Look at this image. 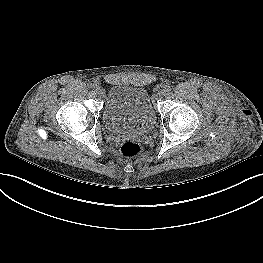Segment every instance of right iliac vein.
<instances>
[{
	"mask_svg": "<svg viewBox=\"0 0 263 263\" xmlns=\"http://www.w3.org/2000/svg\"><path fill=\"white\" fill-rule=\"evenodd\" d=\"M96 91L98 92V93H100V94H102L103 93V90L98 86V88L96 89Z\"/></svg>",
	"mask_w": 263,
	"mask_h": 263,
	"instance_id": "obj_1",
	"label": "right iliac vein"
}]
</instances>
